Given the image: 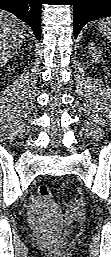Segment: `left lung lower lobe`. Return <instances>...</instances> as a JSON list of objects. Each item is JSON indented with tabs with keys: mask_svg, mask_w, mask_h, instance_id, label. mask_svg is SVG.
<instances>
[{
	"mask_svg": "<svg viewBox=\"0 0 111 257\" xmlns=\"http://www.w3.org/2000/svg\"><path fill=\"white\" fill-rule=\"evenodd\" d=\"M111 16V0H75L74 35L79 34L82 27L90 21Z\"/></svg>",
	"mask_w": 111,
	"mask_h": 257,
	"instance_id": "1",
	"label": "left lung lower lobe"
}]
</instances>
